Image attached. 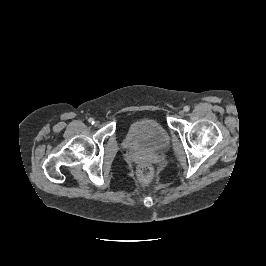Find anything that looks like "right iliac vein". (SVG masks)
Segmentation results:
<instances>
[{"label": "right iliac vein", "mask_w": 266, "mask_h": 266, "mask_svg": "<svg viewBox=\"0 0 266 266\" xmlns=\"http://www.w3.org/2000/svg\"><path fill=\"white\" fill-rule=\"evenodd\" d=\"M95 125H96V126H97V125H99V122H98V121H96V122H95Z\"/></svg>", "instance_id": "right-iliac-vein-1"}]
</instances>
